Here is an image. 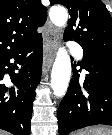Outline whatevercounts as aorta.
Returning <instances> with one entry per match:
<instances>
[{
  "instance_id": "762f6f07",
  "label": "aorta",
  "mask_w": 112,
  "mask_h": 135,
  "mask_svg": "<svg viewBox=\"0 0 112 135\" xmlns=\"http://www.w3.org/2000/svg\"><path fill=\"white\" fill-rule=\"evenodd\" d=\"M49 17L57 27H65L68 21V12L62 6H53ZM71 60L65 47H60L56 53L51 72V88L56 97H63L68 89L71 78Z\"/></svg>"
}]
</instances>
